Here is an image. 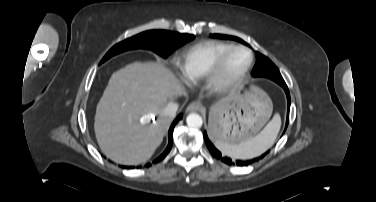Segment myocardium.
I'll list each match as a JSON object with an SVG mask.
<instances>
[{
	"label": "myocardium",
	"mask_w": 376,
	"mask_h": 202,
	"mask_svg": "<svg viewBox=\"0 0 376 202\" xmlns=\"http://www.w3.org/2000/svg\"><path fill=\"white\" fill-rule=\"evenodd\" d=\"M244 51L249 55L246 66L235 76L228 77L225 75V65L229 57L237 52ZM254 60L253 53L250 49L242 45H234L227 49L217 60L214 67L206 76V82L209 90L214 93H225L235 88L248 74Z\"/></svg>",
	"instance_id": "f54148a6"
}]
</instances>
